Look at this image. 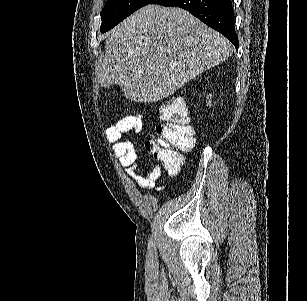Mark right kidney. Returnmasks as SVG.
Returning <instances> with one entry per match:
<instances>
[{"mask_svg": "<svg viewBox=\"0 0 307 301\" xmlns=\"http://www.w3.org/2000/svg\"><path fill=\"white\" fill-rule=\"evenodd\" d=\"M206 98H207V100H206L207 106H212L211 98H213V94H207Z\"/></svg>", "mask_w": 307, "mask_h": 301, "instance_id": "ca27d5eb", "label": "right kidney"}]
</instances>
